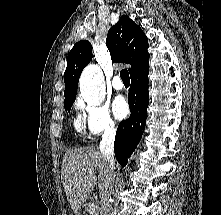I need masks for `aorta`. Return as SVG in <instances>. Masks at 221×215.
<instances>
[{
  "label": "aorta",
  "instance_id": "aorta-1",
  "mask_svg": "<svg viewBox=\"0 0 221 215\" xmlns=\"http://www.w3.org/2000/svg\"><path fill=\"white\" fill-rule=\"evenodd\" d=\"M79 87L82 97L92 105H100L105 99V81L98 65L90 64L82 72Z\"/></svg>",
  "mask_w": 221,
  "mask_h": 215
}]
</instances>
